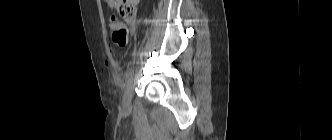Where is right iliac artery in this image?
Wrapping results in <instances>:
<instances>
[{"label":"right iliac artery","instance_id":"82829eb1","mask_svg":"<svg viewBox=\"0 0 332 140\" xmlns=\"http://www.w3.org/2000/svg\"><path fill=\"white\" fill-rule=\"evenodd\" d=\"M126 80H127V83H129L130 80H131V71H130V70H128V71L126 72Z\"/></svg>","mask_w":332,"mask_h":140}]
</instances>
